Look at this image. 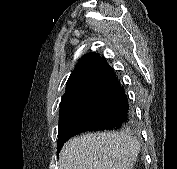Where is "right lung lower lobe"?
Returning <instances> with one entry per match:
<instances>
[{"instance_id": "obj_1", "label": "right lung lower lobe", "mask_w": 177, "mask_h": 169, "mask_svg": "<svg viewBox=\"0 0 177 169\" xmlns=\"http://www.w3.org/2000/svg\"><path fill=\"white\" fill-rule=\"evenodd\" d=\"M89 101L76 116L59 124L57 153L77 133L92 130H113L132 118V110L124 87L107 64L86 83Z\"/></svg>"}]
</instances>
